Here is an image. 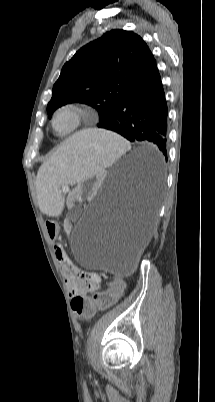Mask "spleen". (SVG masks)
<instances>
[{
    "mask_svg": "<svg viewBox=\"0 0 215 402\" xmlns=\"http://www.w3.org/2000/svg\"><path fill=\"white\" fill-rule=\"evenodd\" d=\"M130 145L120 136L95 128H82L67 139L39 173V209L51 216L64 208L61 186L75 183L86 175L113 163Z\"/></svg>",
    "mask_w": 215,
    "mask_h": 402,
    "instance_id": "1",
    "label": "spleen"
}]
</instances>
